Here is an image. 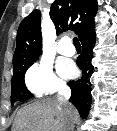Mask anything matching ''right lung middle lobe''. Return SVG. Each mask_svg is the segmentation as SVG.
Returning a JSON list of instances; mask_svg holds the SVG:
<instances>
[{"mask_svg":"<svg viewBox=\"0 0 117 131\" xmlns=\"http://www.w3.org/2000/svg\"><path fill=\"white\" fill-rule=\"evenodd\" d=\"M31 65L32 64L23 65L13 69V77L11 81L12 104L16 101H25L33 96L32 93L27 90L24 83L25 72Z\"/></svg>","mask_w":117,"mask_h":131,"instance_id":"right-lung-middle-lobe-1","label":"right lung middle lobe"}]
</instances>
